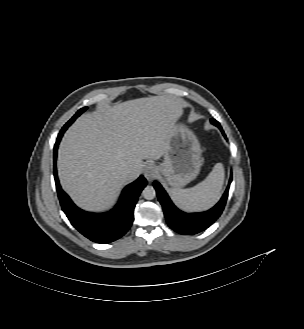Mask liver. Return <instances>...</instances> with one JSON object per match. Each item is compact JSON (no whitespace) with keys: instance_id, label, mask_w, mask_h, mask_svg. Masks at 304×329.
Here are the masks:
<instances>
[{"instance_id":"1","label":"liver","mask_w":304,"mask_h":329,"mask_svg":"<svg viewBox=\"0 0 304 329\" xmlns=\"http://www.w3.org/2000/svg\"><path fill=\"white\" fill-rule=\"evenodd\" d=\"M183 102L151 96L99 107L66 131L58 151L63 189L88 211L108 209L127 181L138 177L143 160H158L168 149ZM131 167L123 177L119 169Z\"/></svg>"}]
</instances>
